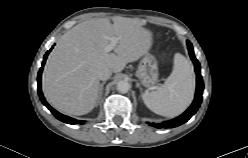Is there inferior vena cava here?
I'll list each match as a JSON object with an SVG mask.
<instances>
[{
    "label": "inferior vena cava",
    "mask_w": 248,
    "mask_h": 158,
    "mask_svg": "<svg viewBox=\"0 0 248 158\" xmlns=\"http://www.w3.org/2000/svg\"><path fill=\"white\" fill-rule=\"evenodd\" d=\"M111 74L112 70L109 68H105L99 73V79L105 81L110 78Z\"/></svg>",
    "instance_id": "inferior-vena-cava-1"
}]
</instances>
